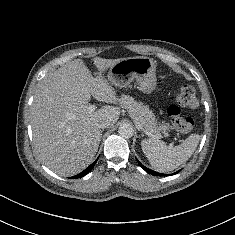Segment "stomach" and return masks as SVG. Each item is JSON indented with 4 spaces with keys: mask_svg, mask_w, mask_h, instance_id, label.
Returning a JSON list of instances; mask_svg holds the SVG:
<instances>
[{
    "mask_svg": "<svg viewBox=\"0 0 235 235\" xmlns=\"http://www.w3.org/2000/svg\"><path fill=\"white\" fill-rule=\"evenodd\" d=\"M107 80L118 88H126L136 80L141 91L151 93L156 87V65L149 57L121 58L110 67Z\"/></svg>",
    "mask_w": 235,
    "mask_h": 235,
    "instance_id": "0dacf381",
    "label": "stomach"
}]
</instances>
